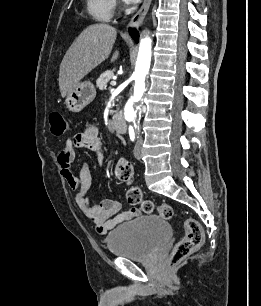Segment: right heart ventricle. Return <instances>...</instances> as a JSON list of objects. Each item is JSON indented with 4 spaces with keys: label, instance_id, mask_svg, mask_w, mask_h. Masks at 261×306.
I'll list each match as a JSON object with an SVG mask.
<instances>
[{
    "label": "right heart ventricle",
    "instance_id": "right-heart-ventricle-1",
    "mask_svg": "<svg viewBox=\"0 0 261 306\" xmlns=\"http://www.w3.org/2000/svg\"><path fill=\"white\" fill-rule=\"evenodd\" d=\"M87 9L98 21H108L113 14V0H87Z\"/></svg>",
    "mask_w": 261,
    "mask_h": 306
}]
</instances>
